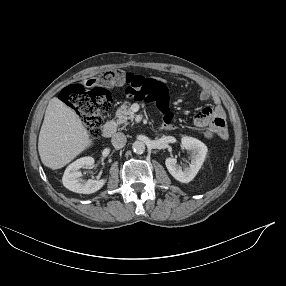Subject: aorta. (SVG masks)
Instances as JSON below:
<instances>
[{"instance_id": "obj_1", "label": "aorta", "mask_w": 286, "mask_h": 286, "mask_svg": "<svg viewBox=\"0 0 286 286\" xmlns=\"http://www.w3.org/2000/svg\"><path fill=\"white\" fill-rule=\"evenodd\" d=\"M132 149L137 154H142L145 151V144L142 141H135L132 145Z\"/></svg>"}]
</instances>
